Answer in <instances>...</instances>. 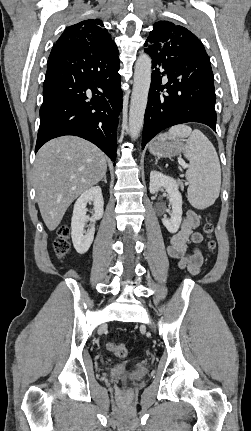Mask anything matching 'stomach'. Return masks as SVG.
Masks as SVG:
<instances>
[{"instance_id": "0dacf381", "label": "stomach", "mask_w": 251, "mask_h": 431, "mask_svg": "<svg viewBox=\"0 0 251 431\" xmlns=\"http://www.w3.org/2000/svg\"><path fill=\"white\" fill-rule=\"evenodd\" d=\"M185 146L182 139L169 134H161L150 143L149 151L154 156L170 158L179 155L181 151H184Z\"/></svg>"}]
</instances>
